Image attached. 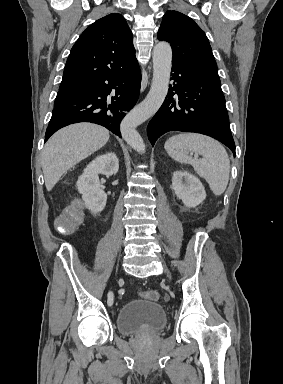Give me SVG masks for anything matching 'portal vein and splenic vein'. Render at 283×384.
Listing matches in <instances>:
<instances>
[{"label": "portal vein and splenic vein", "mask_w": 283, "mask_h": 384, "mask_svg": "<svg viewBox=\"0 0 283 384\" xmlns=\"http://www.w3.org/2000/svg\"><path fill=\"white\" fill-rule=\"evenodd\" d=\"M190 156H194V158H198V154H193V152H190Z\"/></svg>", "instance_id": "obj_1"}]
</instances>
